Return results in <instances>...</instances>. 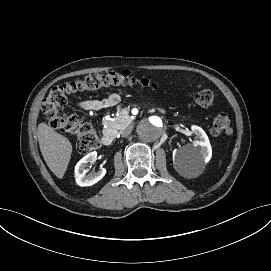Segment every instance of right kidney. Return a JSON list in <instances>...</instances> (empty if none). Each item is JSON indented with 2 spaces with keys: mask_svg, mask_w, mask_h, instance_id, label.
<instances>
[{
  "mask_svg": "<svg viewBox=\"0 0 271 271\" xmlns=\"http://www.w3.org/2000/svg\"><path fill=\"white\" fill-rule=\"evenodd\" d=\"M97 158L96 152H91L84 156L75 166L74 179L79 186H91L98 182L106 173V170L102 168L97 172L90 173L86 175L87 164H93L94 160Z\"/></svg>",
  "mask_w": 271,
  "mask_h": 271,
  "instance_id": "ca27d5eb",
  "label": "right kidney"
}]
</instances>
